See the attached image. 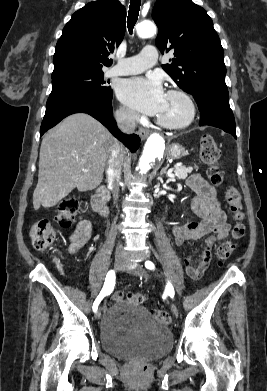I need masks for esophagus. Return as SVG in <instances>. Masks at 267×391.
Returning a JSON list of instances; mask_svg holds the SVG:
<instances>
[{"label":"esophagus","instance_id":"esophagus-1","mask_svg":"<svg viewBox=\"0 0 267 391\" xmlns=\"http://www.w3.org/2000/svg\"><path fill=\"white\" fill-rule=\"evenodd\" d=\"M138 134L142 140L146 139L147 136L150 134V131L148 129L139 128Z\"/></svg>","mask_w":267,"mask_h":391}]
</instances>
